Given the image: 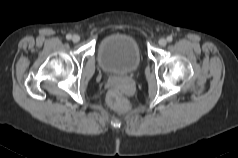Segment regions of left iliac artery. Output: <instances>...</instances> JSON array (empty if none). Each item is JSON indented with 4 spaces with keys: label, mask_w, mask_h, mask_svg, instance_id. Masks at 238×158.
I'll return each instance as SVG.
<instances>
[{
    "label": "left iliac artery",
    "mask_w": 238,
    "mask_h": 158,
    "mask_svg": "<svg viewBox=\"0 0 238 158\" xmlns=\"http://www.w3.org/2000/svg\"><path fill=\"white\" fill-rule=\"evenodd\" d=\"M172 40H173L172 36H168V37H167V41H168V42H171Z\"/></svg>",
    "instance_id": "1"
}]
</instances>
